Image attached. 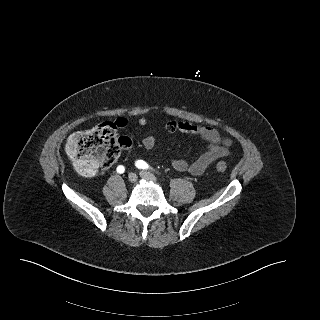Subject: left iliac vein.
Here are the masks:
<instances>
[{
  "mask_svg": "<svg viewBox=\"0 0 320 320\" xmlns=\"http://www.w3.org/2000/svg\"><path fill=\"white\" fill-rule=\"evenodd\" d=\"M139 175L146 180H150L153 182L157 181V178L152 173H150L148 171L142 170V171H140Z\"/></svg>",
  "mask_w": 320,
  "mask_h": 320,
  "instance_id": "1",
  "label": "left iliac vein"
}]
</instances>
